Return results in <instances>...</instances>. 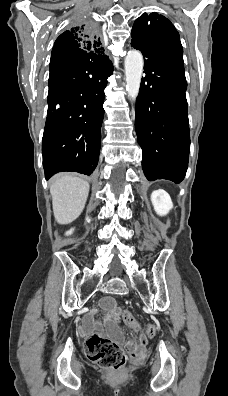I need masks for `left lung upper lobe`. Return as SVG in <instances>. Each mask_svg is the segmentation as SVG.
I'll list each match as a JSON object with an SVG mask.
<instances>
[{"instance_id": "5c2ea615", "label": "left lung upper lobe", "mask_w": 228, "mask_h": 396, "mask_svg": "<svg viewBox=\"0 0 228 396\" xmlns=\"http://www.w3.org/2000/svg\"><path fill=\"white\" fill-rule=\"evenodd\" d=\"M131 37L133 43L152 46L161 53L179 58L183 63L179 33L166 17L155 12L142 14L134 22Z\"/></svg>"}]
</instances>
